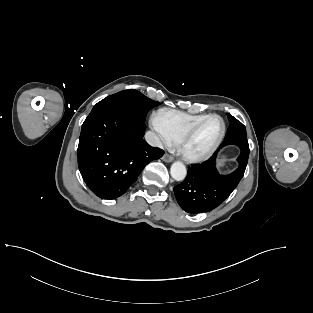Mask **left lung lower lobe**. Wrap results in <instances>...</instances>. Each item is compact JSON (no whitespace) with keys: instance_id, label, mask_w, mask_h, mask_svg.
<instances>
[{"instance_id":"1","label":"left lung lower lobe","mask_w":313,"mask_h":313,"mask_svg":"<svg viewBox=\"0 0 313 313\" xmlns=\"http://www.w3.org/2000/svg\"><path fill=\"white\" fill-rule=\"evenodd\" d=\"M227 145L237 146L241 154L237 158L239 167L229 175H220L215 167L217 152ZM211 158L202 164L188 167L185 180L174 187L180 207L188 213L208 212L218 207L236 188L242 179L249 157L246 137L227 138Z\"/></svg>"}]
</instances>
